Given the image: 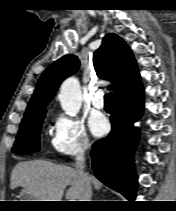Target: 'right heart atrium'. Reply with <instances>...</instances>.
Instances as JSON below:
<instances>
[{
	"label": "right heart atrium",
	"mask_w": 176,
	"mask_h": 211,
	"mask_svg": "<svg viewBox=\"0 0 176 211\" xmlns=\"http://www.w3.org/2000/svg\"><path fill=\"white\" fill-rule=\"evenodd\" d=\"M91 146L84 124L79 119L58 113L53 121L51 147L62 156H78Z\"/></svg>",
	"instance_id": "obj_1"
}]
</instances>
